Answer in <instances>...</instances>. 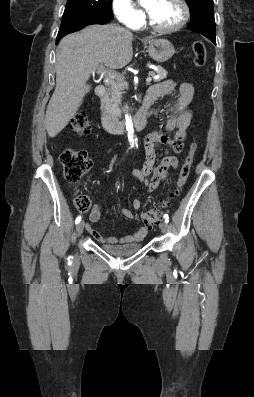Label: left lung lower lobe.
<instances>
[{
  "label": "left lung lower lobe",
  "instance_id": "obj_1",
  "mask_svg": "<svg viewBox=\"0 0 254 397\" xmlns=\"http://www.w3.org/2000/svg\"><path fill=\"white\" fill-rule=\"evenodd\" d=\"M188 28L191 31L200 33L204 36H206L208 39H210L214 44H216V39H215V26H209V25H188Z\"/></svg>",
  "mask_w": 254,
  "mask_h": 397
}]
</instances>
